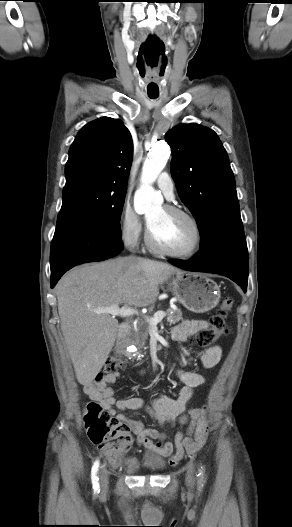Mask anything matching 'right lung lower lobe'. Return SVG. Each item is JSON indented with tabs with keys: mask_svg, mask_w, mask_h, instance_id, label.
<instances>
[{
	"mask_svg": "<svg viewBox=\"0 0 292 527\" xmlns=\"http://www.w3.org/2000/svg\"><path fill=\"white\" fill-rule=\"evenodd\" d=\"M123 248L121 238L105 231L80 225H57L50 253L51 288L74 266L112 258Z\"/></svg>",
	"mask_w": 292,
	"mask_h": 527,
	"instance_id": "obj_1",
	"label": "right lung lower lobe"
}]
</instances>
